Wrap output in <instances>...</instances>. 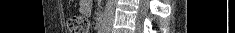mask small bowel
I'll use <instances>...</instances> for the list:
<instances>
[{"label":"small bowel","mask_w":235,"mask_h":33,"mask_svg":"<svg viewBox=\"0 0 235 33\" xmlns=\"http://www.w3.org/2000/svg\"><path fill=\"white\" fill-rule=\"evenodd\" d=\"M88 7H89V5L86 2L83 5H81V9L83 12H86L88 10Z\"/></svg>","instance_id":"1"}]
</instances>
